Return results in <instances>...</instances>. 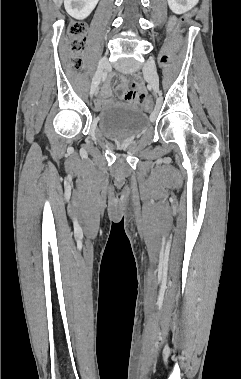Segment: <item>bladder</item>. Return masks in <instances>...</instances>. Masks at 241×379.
Listing matches in <instances>:
<instances>
[{"label":"bladder","instance_id":"31cf9c89","mask_svg":"<svg viewBox=\"0 0 241 379\" xmlns=\"http://www.w3.org/2000/svg\"><path fill=\"white\" fill-rule=\"evenodd\" d=\"M101 134L115 141L132 140L140 136L149 125L147 114L139 107L115 104L96 117Z\"/></svg>","mask_w":241,"mask_h":379}]
</instances>
